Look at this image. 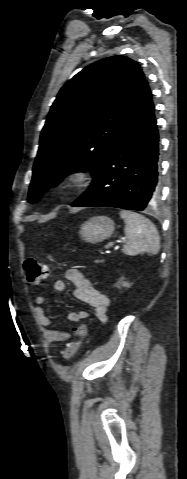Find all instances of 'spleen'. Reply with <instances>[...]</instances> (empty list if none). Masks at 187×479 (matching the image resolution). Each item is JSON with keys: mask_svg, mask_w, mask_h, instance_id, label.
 <instances>
[{"mask_svg": "<svg viewBox=\"0 0 187 479\" xmlns=\"http://www.w3.org/2000/svg\"><path fill=\"white\" fill-rule=\"evenodd\" d=\"M120 216L125 222L124 233L128 238L122 252L128 256L158 254L160 238L154 224L145 216L128 210H121Z\"/></svg>", "mask_w": 187, "mask_h": 479, "instance_id": "1", "label": "spleen"}]
</instances>
